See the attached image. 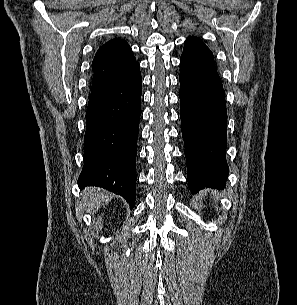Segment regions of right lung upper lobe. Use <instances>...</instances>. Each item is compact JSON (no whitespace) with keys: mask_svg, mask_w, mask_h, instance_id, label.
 <instances>
[{"mask_svg":"<svg viewBox=\"0 0 297 305\" xmlns=\"http://www.w3.org/2000/svg\"><path fill=\"white\" fill-rule=\"evenodd\" d=\"M136 63L134 54L123 39H112L102 45L92 62V86L112 79Z\"/></svg>","mask_w":297,"mask_h":305,"instance_id":"cb5924a9","label":"right lung upper lobe"}]
</instances>
